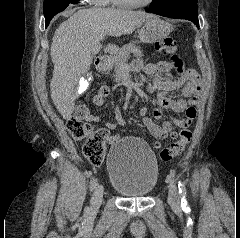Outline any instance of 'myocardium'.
Returning <instances> with one entry per match:
<instances>
[{
  "label": "myocardium",
  "instance_id": "f54148a6",
  "mask_svg": "<svg viewBox=\"0 0 240 238\" xmlns=\"http://www.w3.org/2000/svg\"><path fill=\"white\" fill-rule=\"evenodd\" d=\"M154 0H147L142 3H134L126 0H113V2L123 8H142L150 5Z\"/></svg>",
  "mask_w": 240,
  "mask_h": 238
}]
</instances>
